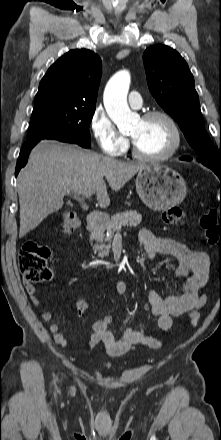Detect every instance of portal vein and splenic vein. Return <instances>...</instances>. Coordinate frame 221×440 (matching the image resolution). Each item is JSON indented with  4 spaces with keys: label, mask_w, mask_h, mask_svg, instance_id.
I'll return each instance as SVG.
<instances>
[{
    "label": "portal vein and splenic vein",
    "mask_w": 221,
    "mask_h": 440,
    "mask_svg": "<svg viewBox=\"0 0 221 440\" xmlns=\"http://www.w3.org/2000/svg\"><path fill=\"white\" fill-rule=\"evenodd\" d=\"M92 194H93L92 191H88V192H86V193H83V194H82V197H83V198H88V197H90Z\"/></svg>",
    "instance_id": "1"
}]
</instances>
